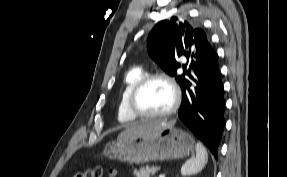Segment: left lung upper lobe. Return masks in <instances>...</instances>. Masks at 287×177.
I'll return each instance as SVG.
<instances>
[{
	"mask_svg": "<svg viewBox=\"0 0 287 177\" xmlns=\"http://www.w3.org/2000/svg\"><path fill=\"white\" fill-rule=\"evenodd\" d=\"M150 57L166 72L175 77L180 86L191 76L188 65H181L177 58L186 56L190 61L189 69L195 70L198 65L209 57L213 49L205 32L193 28L186 20L172 17L159 22L150 32L147 39ZM182 67L183 74L177 75V69Z\"/></svg>",
	"mask_w": 287,
	"mask_h": 177,
	"instance_id": "obj_1",
	"label": "left lung upper lobe"
}]
</instances>
